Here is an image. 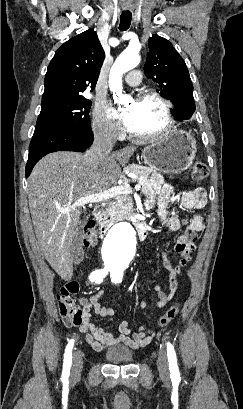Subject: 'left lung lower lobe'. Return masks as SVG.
<instances>
[{
  "instance_id": "left-lung-lower-lobe-1",
  "label": "left lung lower lobe",
  "mask_w": 243,
  "mask_h": 409,
  "mask_svg": "<svg viewBox=\"0 0 243 409\" xmlns=\"http://www.w3.org/2000/svg\"><path fill=\"white\" fill-rule=\"evenodd\" d=\"M179 121L185 120V119H178Z\"/></svg>"
}]
</instances>
